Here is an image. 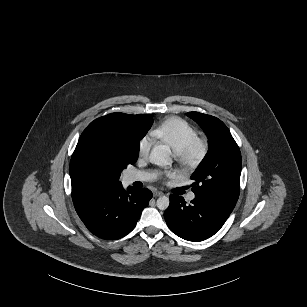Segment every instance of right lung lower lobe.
I'll return each instance as SVG.
<instances>
[{
	"label": "right lung lower lobe",
	"mask_w": 307,
	"mask_h": 307,
	"mask_svg": "<svg viewBox=\"0 0 307 307\" xmlns=\"http://www.w3.org/2000/svg\"><path fill=\"white\" fill-rule=\"evenodd\" d=\"M152 198L146 188L109 186L74 203L85 226L99 238L119 239L131 232Z\"/></svg>",
	"instance_id": "obj_1"
}]
</instances>
